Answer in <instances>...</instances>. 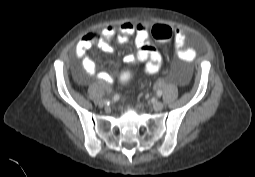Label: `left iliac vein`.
I'll return each mask as SVG.
<instances>
[{
  "instance_id": "obj_1",
  "label": "left iliac vein",
  "mask_w": 255,
  "mask_h": 177,
  "mask_svg": "<svg viewBox=\"0 0 255 177\" xmlns=\"http://www.w3.org/2000/svg\"><path fill=\"white\" fill-rule=\"evenodd\" d=\"M163 107H164V104L161 101H158L153 104V108L155 111H160L163 109Z\"/></svg>"
}]
</instances>
